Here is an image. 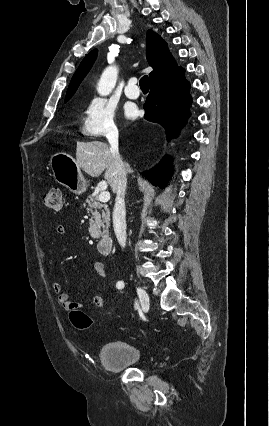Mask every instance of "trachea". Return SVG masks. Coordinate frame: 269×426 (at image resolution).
Returning <instances> with one entry per match:
<instances>
[{"label":"trachea","instance_id":"trachea-1","mask_svg":"<svg viewBox=\"0 0 269 426\" xmlns=\"http://www.w3.org/2000/svg\"><path fill=\"white\" fill-rule=\"evenodd\" d=\"M139 84H140L141 88H149V79H148V76L147 75L143 76L140 79Z\"/></svg>","mask_w":269,"mask_h":426}]
</instances>
